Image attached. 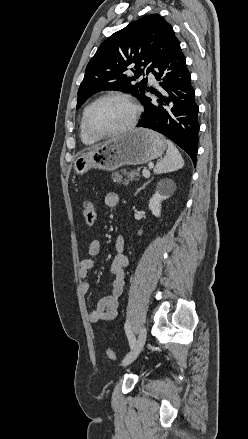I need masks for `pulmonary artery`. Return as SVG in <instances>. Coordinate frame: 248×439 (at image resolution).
Segmentation results:
<instances>
[{
	"mask_svg": "<svg viewBox=\"0 0 248 439\" xmlns=\"http://www.w3.org/2000/svg\"><path fill=\"white\" fill-rule=\"evenodd\" d=\"M145 76L148 77V79L151 83L155 82V77L151 73H146Z\"/></svg>",
	"mask_w": 248,
	"mask_h": 439,
	"instance_id": "e3ab8cb5",
	"label": "pulmonary artery"
}]
</instances>
